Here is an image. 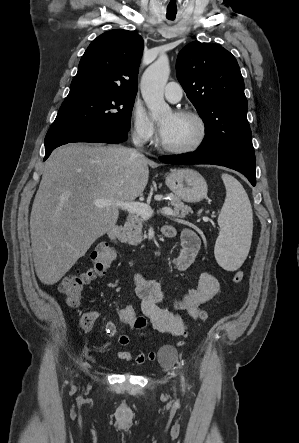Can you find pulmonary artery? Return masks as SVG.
<instances>
[{"instance_id":"obj_1","label":"pulmonary artery","mask_w":299,"mask_h":443,"mask_svg":"<svg viewBox=\"0 0 299 443\" xmlns=\"http://www.w3.org/2000/svg\"><path fill=\"white\" fill-rule=\"evenodd\" d=\"M182 93V87L177 82H169L164 89L165 98L172 103L180 101Z\"/></svg>"}]
</instances>
